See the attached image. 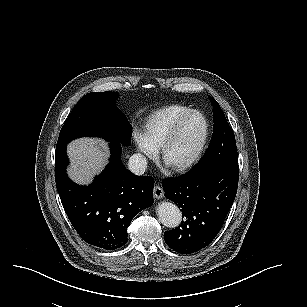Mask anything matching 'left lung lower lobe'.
Returning <instances> with one entry per match:
<instances>
[{
    "label": "left lung lower lobe",
    "instance_id": "left-lung-lower-lobe-1",
    "mask_svg": "<svg viewBox=\"0 0 307 307\" xmlns=\"http://www.w3.org/2000/svg\"><path fill=\"white\" fill-rule=\"evenodd\" d=\"M239 170L220 165L194 167L179 178L162 181L165 197L177 204L184 221L164 233L165 242L178 253H194L219 233L237 193Z\"/></svg>",
    "mask_w": 307,
    "mask_h": 307
}]
</instances>
